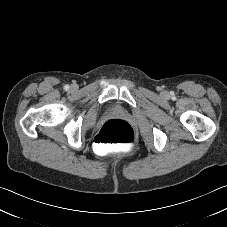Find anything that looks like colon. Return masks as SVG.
<instances>
[{"label": "colon", "instance_id": "1", "mask_svg": "<svg viewBox=\"0 0 227 227\" xmlns=\"http://www.w3.org/2000/svg\"><path fill=\"white\" fill-rule=\"evenodd\" d=\"M134 140L132 127L121 120H109L96 135V142L102 144H131Z\"/></svg>", "mask_w": 227, "mask_h": 227}]
</instances>
